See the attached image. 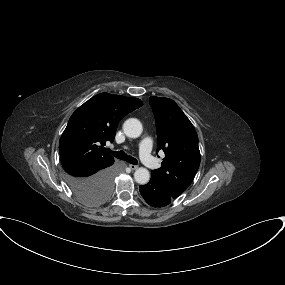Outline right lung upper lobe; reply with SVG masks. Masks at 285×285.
I'll list each match as a JSON object with an SVG mask.
<instances>
[{
    "label": "right lung upper lobe",
    "instance_id": "right-lung-upper-lobe-1",
    "mask_svg": "<svg viewBox=\"0 0 285 285\" xmlns=\"http://www.w3.org/2000/svg\"><path fill=\"white\" fill-rule=\"evenodd\" d=\"M142 105L140 99L109 93L98 94L81 105L60 138L63 169L84 163L94 166L113 163L114 158L103 146L114 141L119 121Z\"/></svg>",
    "mask_w": 285,
    "mask_h": 285
}]
</instances>
